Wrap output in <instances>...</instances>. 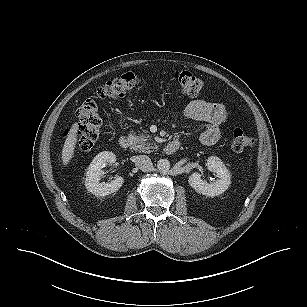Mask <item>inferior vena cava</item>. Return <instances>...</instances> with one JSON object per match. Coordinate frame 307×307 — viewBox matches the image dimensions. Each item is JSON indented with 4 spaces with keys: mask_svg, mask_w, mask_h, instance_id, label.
<instances>
[{
    "mask_svg": "<svg viewBox=\"0 0 307 307\" xmlns=\"http://www.w3.org/2000/svg\"><path fill=\"white\" fill-rule=\"evenodd\" d=\"M135 164L142 170V171H149L153 165L151 159L146 155H139L135 158Z\"/></svg>",
    "mask_w": 307,
    "mask_h": 307,
    "instance_id": "602c4592",
    "label": "inferior vena cava"
}]
</instances>
